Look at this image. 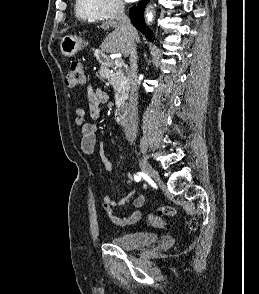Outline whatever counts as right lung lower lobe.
<instances>
[{
  "label": "right lung lower lobe",
  "instance_id": "obj_1",
  "mask_svg": "<svg viewBox=\"0 0 259 294\" xmlns=\"http://www.w3.org/2000/svg\"><path fill=\"white\" fill-rule=\"evenodd\" d=\"M149 0L140 1L136 6L132 7L129 10L130 19L133 25L145 35L149 40H152L151 30L146 29V25L143 18V12L146 4Z\"/></svg>",
  "mask_w": 259,
  "mask_h": 294
}]
</instances>
